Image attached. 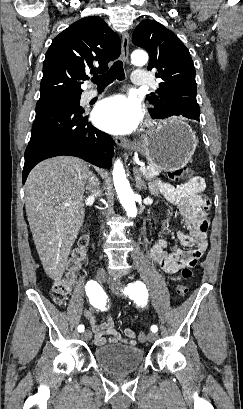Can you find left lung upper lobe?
Here are the masks:
<instances>
[{"label": "left lung upper lobe", "instance_id": "obj_1", "mask_svg": "<svg viewBox=\"0 0 243 409\" xmlns=\"http://www.w3.org/2000/svg\"><path fill=\"white\" fill-rule=\"evenodd\" d=\"M132 40L148 51V69H157L156 77L162 79L156 92L147 96V100L155 106L151 115L165 118L171 110H178L181 115L200 113L194 64L181 40L152 20L142 21L134 30Z\"/></svg>", "mask_w": 243, "mask_h": 409}]
</instances>
